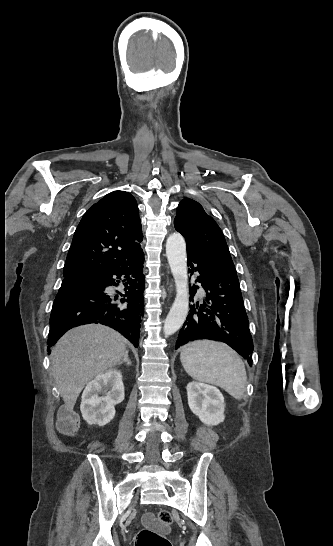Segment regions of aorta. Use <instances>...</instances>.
Wrapping results in <instances>:
<instances>
[{
    "label": "aorta",
    "mask_w": 333,
    "mask_h": 546,
    "mask_svg": "<svg viewBox=\"0 0 333 546\" xmlns=\"http://www.w3.org/2000/svg\"><path fill=\"white\" fill-rule=\"evenodd\" d=\"M166 256L176 286V298L164 322V334L170 336L183 325L189 308L186 244L179 233L166 241Z\"/></svg>",
    "instance_id": "aorta-1"
}]
</instances>
